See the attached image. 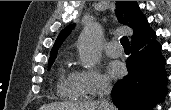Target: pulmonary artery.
Wrapping results in <instances>:
<instances>
[{
  "label": "pulmonary artery",
  "instance_id": "obj_1",
  "mask_svg": "<svg viewBox=\"0 0 171 110\" xmlns=\"http://www.w3.org/2000/svg\"><path fill=\"white\" fill-rule=\"evenodd\" d=\"M106 54L110 57L116 58L122 55L123 50L117 41H110L105 48Z\"/></svg>",
  "mask_w": 171,
  "mask_h": 110
}]
</instances>
